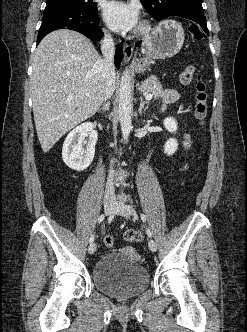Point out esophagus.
Instances as JSON below:
<instances>
[{"instance_id": "obj_1", "label": "esophagus", "mask_w": 247, "mask_h": 332, "mask_svg": "<svg viewBox=\"0 0 247 332\" xmlns=\"http://www.w3.org/2000/svg\"><path fill=\"white\" fill-rule=\"evenodd\" d=\"M133 55V47L127 43L123 45V62L127 63Z\"/></svg>"}]
</instances>
